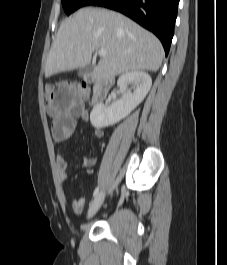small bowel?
<instances>
[{"label":"small bowel","instance_id":"c3829d8e","mask_svg":"<svg viewBox=\"0 0 227 265\" xmlns=\"http://www.w3.org/2000/svg\"><path fill=\"white\" fill-rule=\"evenodd\" d=\"M48 114L52 118L51 131L56 142L68 140L75 132L77 119L84 121L89 119V113L84 108L87 107V99H83V91H78V87H57L53 91L50 102H46ZM94 134L97 138L104 136L102 128H95ZM96 164V157L85 156L82 161L83 167H92ZM59 180L66 183L68 180V162L59 156L56 160ZM85 207V200L79 197L73 200L72 208L76 214H81Z\"/></svg>","mask_w":227,"mask_h":265}]
</instances>
